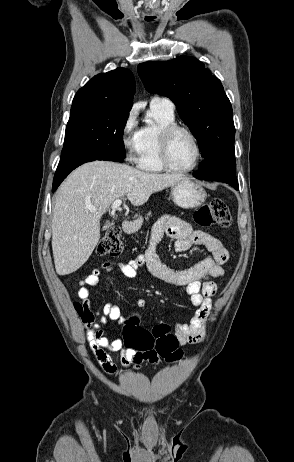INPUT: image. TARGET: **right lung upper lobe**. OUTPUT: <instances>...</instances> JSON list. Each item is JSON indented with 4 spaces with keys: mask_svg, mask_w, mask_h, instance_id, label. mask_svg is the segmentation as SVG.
<instances>
[{
    "mask_svg": "<svg viewBox=\"0 0 294 462\" xmlns=\"http://www.w3.org/2000/svg\"><path fill=\"white\" fill-rule=\"evenodd\" d=\"M134 93L132 72L120 67L94 76L78 90L71 109L95 107L130 111Z\"/></svg>",
    "mask_w": 294,
    "mask_h": 462,
    "instance_id": "obj_1",
    "label": "right lung upper lobe"
}]
</instances>
